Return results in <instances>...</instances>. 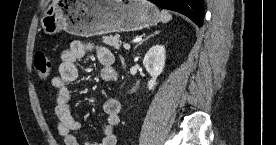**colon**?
<instances>
[{
    "mask_svg": "<svg viewBox=\"0 0 276 145\" xmlns=\"http://www.w3.org/2000/svg\"><path fill=\"white\" fill-rule=\"evenodd\" d=\"M34 65L36 69L37 76L41 80H46L49 78L51 73V63L48 56L42 52L35 55Z\"/></svg>",
    "mask_w": 276,
    "mask_h": 145,
    "instance_id": "colon-1",
    "label": "colon"
}]
</instances>
